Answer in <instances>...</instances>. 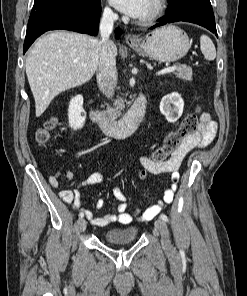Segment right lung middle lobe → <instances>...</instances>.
Listing matches in <instances>:
<instances>
[{"label":"right lung middle lobe","mask_w":247,"mask_h":296,"mask_svg":"<svg viewBox=\"0 0 247 296\" xmlns=\"http://www.w3.org/2000/svg\"><path fill=\"white\" fill-rule=\"evenodd\" d=\"M42 1H46V0H35L34 4L36 3H39V2H42ZM84 4L88 5V6H91V7H94L96 6L100 0H81Z\"/></svg>","instance_id":"right-lung-middle-lobe-1"}]
</instances>
